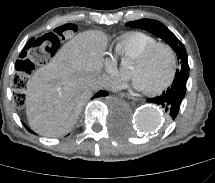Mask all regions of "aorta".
<instances>
[{
    "mask_svg": "<svg viewBox=\"0 0 215 183\" xmlns=\"http://www.w3.org/2000/svg\"><path fill=\"white\" fill-rule=\"evenodd\" d=\"M164 115L156 106L140 107L135 114V125L144 132H154L162 125Z\"/></svg>",
    "mask_w": 215,
    "mask_h": 183,
    "instance_id": "aorta-1",
    "label": "aorta"
}]
</instances>
